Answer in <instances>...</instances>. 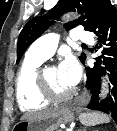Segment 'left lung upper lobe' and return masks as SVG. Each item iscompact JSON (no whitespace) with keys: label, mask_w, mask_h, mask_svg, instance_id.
Wrapping results in <instances>:
<instances>
[{"label":"left lung upper lobe","mask_w":117,"mask_h":131,"mask_svg":"<svg viewBox=\"0 0 117 131\" xmlns=\"http://www.w3.org/2000/svg\"><path fill=\"white\" fill-rule=\"evenodd\" d=\"M109 2L110 0H59L56 6L49 11V15L58 16L77 9L82 16L83 13L85 15L77 22L68 23L66 28L70 29L81 24L85 30L92 32L99 22L103 9ZM48 25L49 20L46 16L34 17L27 22L18 38L16 63L20 61L25 50L46 30ZM79 58L84 62L86 56L82 53Z\"/></svg>","instance_id":"obj_1"}]
</instances>
